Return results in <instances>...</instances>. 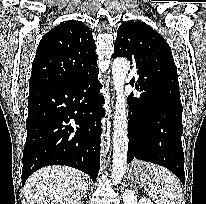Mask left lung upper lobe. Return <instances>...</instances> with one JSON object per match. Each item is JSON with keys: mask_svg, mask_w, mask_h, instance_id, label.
<instances>
[{"mask_svg": "<svg viewBox=\"0 0 206 204\" xmlns=\"http://www.w3.org/2000/svg\"><path fill=\"white\" fill-rule=\"evenodd\" d=\"M127 57L131 64L143 67L147 87L173 83L179 87L171 48L151 26L141 21H127L117 31L113 58Z\"/></svg>", "mask_w": 206, "mask_h": 204, "instance_id": "obj_1", "label": "left lung upper lobe"}]
</instances>
